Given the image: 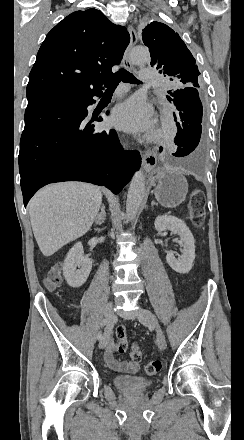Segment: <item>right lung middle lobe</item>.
<instances>
[{
    "mask_svg": "<svg viewBox=\"0 0 244 440\" xmlns=\"http://www.w3.org/2000/svg\"><path fill=\"white\" fill-rule=\"evenodd\" d=\"M52 98H67V99H75L73 97H52Z\"/></svg>",
    "mask_w": 244,
    "mask_h": 440,
    "instance_id": "dd1d6c3e",
    "label": "right lung middle lobe"
}]
</instances>
